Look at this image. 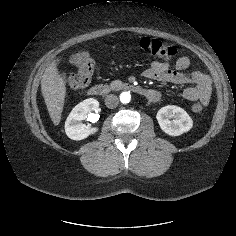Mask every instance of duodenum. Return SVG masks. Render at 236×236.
Returning <instances> with one entry per match:
<instances>
[{
	"instance_id": "obj_1",
	"label": "duodenum",
	"mask_w": 236,
	"mask_h": 236,
	"mask_svg": "<svg viewBox=\"0 0 236 236\" xmlns=\"http://www.w3.org/2000/svg\"><path fill=\"white\" fill-rule=\"evenodd\" d=\"M115 88L132 91L148 99L154 95V92L152 90L129 82H118L111 85L95 84L89 88L88 93L91 96H103Z\"/></svg>"
}]
</instances>
